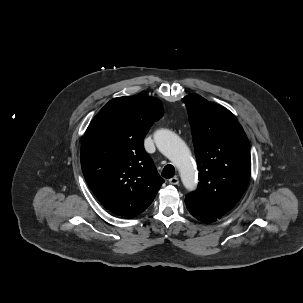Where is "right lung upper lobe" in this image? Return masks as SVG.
Returning a JSON list of instances; mask_svg holds the SVG:
<instances>
[{
    "instance_id": "right-lung-upper-lobe-1",
    "label": "right lung upper lobe",
    "mask_w": 303,
    "mask_h": 303,
    "mask_svg": "<svg viewBox=\"0 0 303 303\" xmlns=\"http://www.w3.org/2000/svg\"><path fill=\"white\" fill-rule=\"evenodd\" d=\"M163 115L154 97L110 100L93 118L83 138L81 167L89 188L112 213L133 218L154 200L164 180L143 140Z\"/></svg>"
}]
</instances>
